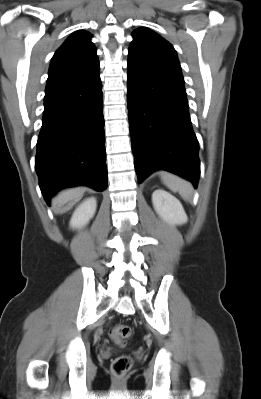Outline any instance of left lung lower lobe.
<instances>
[{"mask_svg": "<svg viewBox=\"0 0 261 399\" xmlns=\"http://www.w3.org/2000/svg\"><path fill=\"white\" fill-rule=\"evenodd\" d=\"M127 101L138 182L167 170L197 187L200 160L184 82L128 67Z\"/></svg>", "mask_w": 261, "mask_h": 399, "instance_id": "left-lung-lower-lobe-1", "label": "left lung lower lobe"}]
</instances>
